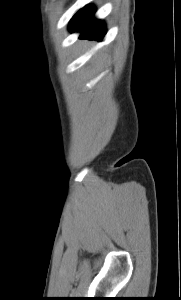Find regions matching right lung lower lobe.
<instances>
[{
	"mask_svg": "<svg viewBox=\"0 0 181 300\" xmlns=\"http://www.w3.org/2000/svg\"><path fill=\"white\" fill-rule=\"evenodd\" d=\"M95 9L88 5L80 9L71 19V32L81 31L80 39H89L101 41L105 34V25L99 20L92 18Z\"/></svg>",
	"mask_w": 181,
	"mask_h": 300,
	"instance_id": "right-lung-lower-lobe-1",
	"label": "right lung lower lobe"
}]
</instances>
